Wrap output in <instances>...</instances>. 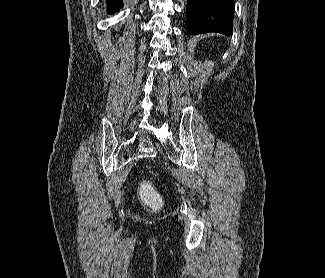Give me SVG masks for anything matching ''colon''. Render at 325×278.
<instances>
[{
  "instance_id": "1",
  "label": "colon",
  "mask_w": 325,
  "mask_h": 278,
  "mask_svg": "<svg viewBox=\"0 0 325 278\" xmlns=\"http://www.w3.org/2000/svg\"><path fill=\"white\" fill-rule=\"evenodd\" d=\"M140 195L141 199L150 208L156 209L161 205L162 198L157 190L148 181H143L140 183Z\"/></svg>"
}]
</instances>
